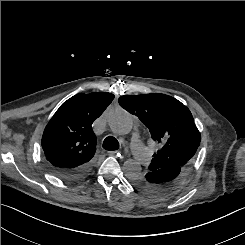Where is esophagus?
Returning a JSON list of instances; mask_svg holds the SVG:
<instances>
[{"label": "esophagus", "instance_id": "1", "mask_svg": "<svg viewBox=\"0 0 245 245\" xmlns=\"http://www.w3.org/2000/svg\"><path fill=\"white\" fill-rule=\"evenodd\" d=\"M107 154L109 156H120V158H123V156L120 153H118L117 151H108Z\"/></svg>", "mask_w": 245, "mask_h": 245}]
</instances>
